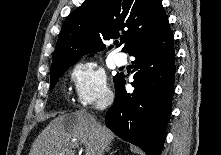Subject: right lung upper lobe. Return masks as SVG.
<instances>
[{
	"label": "right lung upper lobe",
	"mask_w": 221,
	"mask_h": 155,
	"mask_svg": "<svg viewBox=\"0 0 221 155\" xmlns=\"http://www.w3.org/2000/svg\"><path fill=\"white\" fill-rule=\"evenodd\" d=\"M166 23L168 18L160 0H85L62 27L51 70L103 50L105 40L121 37L123 51L129 53L144 35Z\"/></svg>",
	"instance_id": "right-lung-upper-lobe-1"
}]
</instances>
